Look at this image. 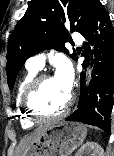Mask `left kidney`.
Returning a JSON list of instances; mask_svg holds the SVG:
<instances>
[{
  "label": "left kidney",
  "mask_w": 114,
  "mask_h": 156,
  "mask_svg": "<svg viewBox=\"0 0 114 156\" xmlns=\"http://www.w3.org/2000/svg\"><path fill=\"white\" fill-rule=\"evenodd\" d=\"M75 156H104V150L97 142L91 141L80 147Z\"/></svg>",
  "instance_id": "5707ae66"
}]
</instances>
